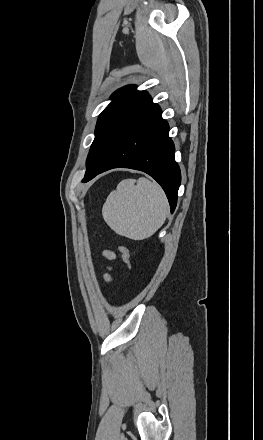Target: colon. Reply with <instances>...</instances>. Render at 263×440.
<instances>
[{
	"mask_svg": "<svg viewBox=\"0 0 263 440\" xmlns=\"http://www.w3.org/2000/svg\"><path fill=\"white\" fill-rule=\"evenodd\" d=\"M119 251L121 253L123 262L126 264L127 268L129 270H131L132 269V259H131L130 248L125 245H121V246H119Z\"/></svg>",
	"mask_w": 263,
	"mask_h": 440,
	"instance_id": "obj_1",
	"label": "colon"
}]
</instances>
